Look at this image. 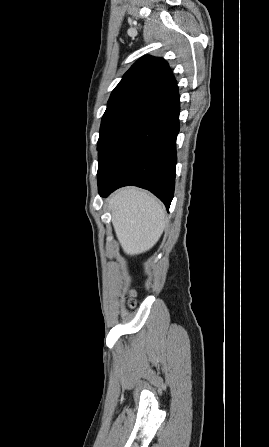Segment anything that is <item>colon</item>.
I'll return each mask as SVG.
<instances>
[{"mask_svg":"<svg viewBox=\"0 0 269 447\" xmlns=\"http://www.w3.org/2000/svg\"><path fill=\"white\" fill-rule=\"evenodd\" d=\"M134 306V299L132 298L131 301L128 302V307H133Z\"/></svg>","mask_w":269,"mask_h":447,"instance_id":"5ec220e1","label":"colon"}]
</instances>
